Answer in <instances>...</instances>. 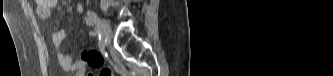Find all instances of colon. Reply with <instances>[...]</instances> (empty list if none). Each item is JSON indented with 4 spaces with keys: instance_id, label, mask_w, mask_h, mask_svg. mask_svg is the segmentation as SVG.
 <instances>
[{
    "instance_id": "1",
    "label": "colon",
    "mask_w": 333,
    "mask_h": 76,
    "mask_svg": "<svg viewBox=\"0 0 333 76\" xmlns=\"http://www.w3.org/2000/svg\"><path fill=\"white\" fill-rule=\"evenodd\" d=\"M89 76H92V73L88 74ZM99 76H112V72L109 69H104L103 71L99 72Z\"/></svg>"
}]
</instances>
